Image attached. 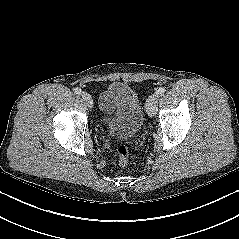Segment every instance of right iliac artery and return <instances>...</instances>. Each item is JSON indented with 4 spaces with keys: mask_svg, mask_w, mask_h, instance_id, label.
<instances>
[{
    "mask_svg": "<svg viewBox=\"0 0 239 239\" xmlns=\"http://www.w3.org/2000/svg\"><path fill=\"white\" fill-rule=\"evenodd\" d=\"M74 93L80 95L82 93V90L80 88H75Z\"/></svg>",
    "mask_w": 239,
    "mask_h": 239,
    "instance_id": "82829eb1",
    "label": "right iliac artery"
}]
</instances>
